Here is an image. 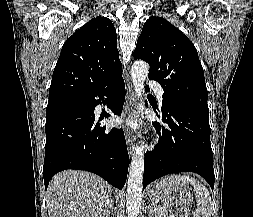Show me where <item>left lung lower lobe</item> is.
Returning <instances> with one entry per match:
<instances>
[{
    "label": "left lung lower lobe",
    "instance_id": "0a47b994",
    "mask_svg": "<svg viewBox=\"0 0 253 217\" xmlns=\"http://www.w3.org/2000/svg\"><path fill=\"white\" fill-rule=\"evenodd\" d=\"M146 89L149 90V87ZM157 116H161L168 126L154 123L156 132L161 137L154 150L145 155L143 189L167 174L195 172L206 179L213 190L215 175L209 110L190 104L168 102Z\"/></svg>",
    "mask_w": 253,
    "mask_h": 217
}]
</instances>
